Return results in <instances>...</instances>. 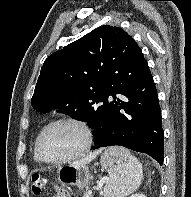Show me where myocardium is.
Wrapping results in <instances>:
<instances>
[{
	"instance_id": "myocardium-1",
	"label": "myocardium",
	"mask_w": 191,
	"mask_h": 197,
	"mask_svg": "<svg viewBox=\"0 0 191 197\" xmlns=\"http://www.w3.org/2000/svg\"><path fill=\"white\" fill-rule=\"evenodd\" d=\"M61 123H71V124L78 126L83 132L84 144L80 150H78L77 152H75L74 154H72L68 157L58 159V160H49V159L45 158V156L41 152V147H40L41 139H42V136L44 135V133L50 127L57 125V124H61ZM92 144H93L92 130H91L90 126L84 120L77 118V117H73V116H63V117H59V118H56V119L50 121L40 130V132L35 140L34 151H35V154L40 162L47 164V165H61V164H65L67 162L76 160V159L82 157L83 155H85L90 150Z\"/></svg>"
}]
</instances>
